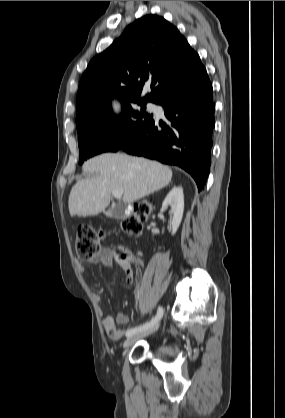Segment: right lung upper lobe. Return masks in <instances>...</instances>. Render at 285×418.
I'll return each mask as SVG.
<instances>
[{
  "instance_id": "cb5924a9",
  "label": "right lung upper lobe",
  "mask_w": 285,
  "mask_h": 418,
  "mask_svg": "<svg viewBox=\"0 0 285 418\" xmlns=\"http://www.w3.org/2000/svg\"><path fill=\"white\" fill-rule=\"evenodd\" d=\"M204 70L199 55L175 26L157 15L143 16L90 61L78 88L76 125L110 109L112 97L122 105L157 104ZM148 83L151 93L140 98Z\"/></svg>"
}]
</instances>
